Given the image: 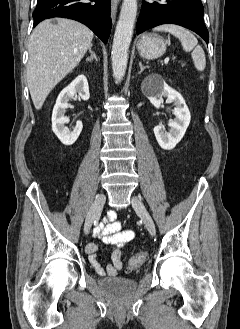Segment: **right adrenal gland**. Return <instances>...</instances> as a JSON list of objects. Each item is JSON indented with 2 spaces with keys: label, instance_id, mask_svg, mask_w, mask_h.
I'll return each mask as SVG.
<instances>
[{
  "label": "right adrenal gland",
  "instance_id": "1",
  "mask_svg": "<svg viewBox=\"0 0 240 329\" xmlns=\"http://www.w3.org/2000/svg\"><path fill=\"white\" fill-rule=\"evenodd\" d=\"M89 52H90V57H88V58L86 59V61H87V62H91V61H93L94 59H95L96 61H98L97 56H96V54L94 53V51L91 50V47L89 48Z\"/></svg>",
  "mask_w": 240,
  "mask_h": 329
}]
</instances>
